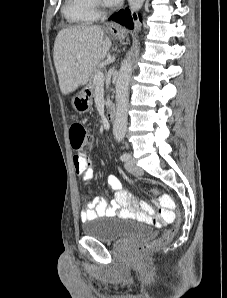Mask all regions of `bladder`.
Listing matches in <instances>:
<instances>
[{
	"label": "bladder",
	"mask_w": 227,
	"mask_h": 298,
	"mask_svg": "<svg viewBox=\"0 0 227 298\" xmlns=\"http://www.w3.org/2000/svg\"><path fill=\"white\" fill-rule=\"evenodd\" d=\"M82 233L102 242H115L148 236L152 233V228L130 219H94L82 225Z\"/></svg>",
	"instance_id": "bladder-1"
}]
</instances>
